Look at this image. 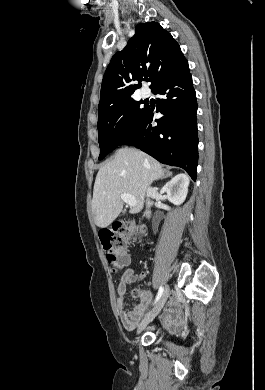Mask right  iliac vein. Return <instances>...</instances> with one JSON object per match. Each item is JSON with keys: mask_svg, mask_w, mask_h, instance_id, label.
<instances>
[{"mask_svg": "<svg viewBox=\"0 0 265 390\" xmlns=\"http://www.w3.org/2000/svg\"><path fill=\"white\" fill-rule=\"evenodd\" d=\"M168 296H169V287L166 285L156 306L140 322L137 330L138 334L147 326V324H149L160 313L161 309L163 308V306L167 301Z\"/></svg>", "mask_w": 265, "mask_h": 390, "instance_id": "right-iliac-vein-1", "label": "right iliac vein"}]
</instances>
